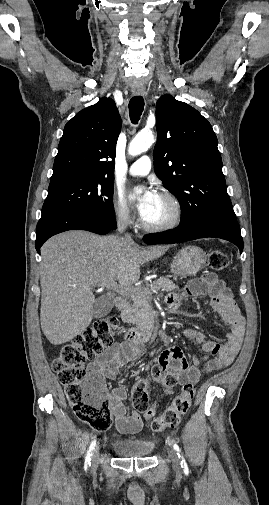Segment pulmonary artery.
<instances>
[{
	"instance_id": "obj_1",
	"label": "pulmonary artery",
	"mask_w": 269,
	"mask_h": 505,
	"mask_svg": "<svg viewBox=\"0 0 269 505\" xmlns=\"http://www.w3.org/2000/svg\"><path fill=\"white\" fill-rule=\"evenodd\" d=\"M152 167V162L149 156H142L136 160L129 168V174L133 176H145Z\"/></svg>"
}]
</instances>
